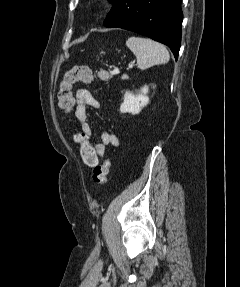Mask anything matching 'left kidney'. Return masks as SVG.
<instances>
[{
  "label": "left kidney",
  "instance_id": "5707ae66",
  "mask_svg": "<svg viewBox=\"0 0 240 287\" xmlns=\"http://www.w3.org/2000/svg\"><path fill=\"white\" fill-rule=\"evenodd\" d=\"M148 91L149 87L145 85L136 95L129 91L126 92L124 95V101L120 105V112L131 113L133 115L139 114L142 108L147 106L149 103V97L147 96Z\"/></svg>",
  "mask_w": 240,
  "mask_h": 287
}]
</instances>
